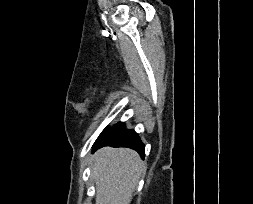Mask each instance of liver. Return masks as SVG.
Here are the masks:
<instances>
[{
	"instance_id": "6515ba94",
	"label": "liver",
	"mask_w": 253,
	"mask_h": 204,
	"mask_svg": "<svg viewBox=\"0 0 253 204\" xmlns=\"http://www.w3.org/2000/svg\"><path fill=\"white\" fill-rule=\"evenodd\" d=\"M95 204H130L144 163L134 150L104 147L91 158Z\"/></svg>"
}]
</instances>
